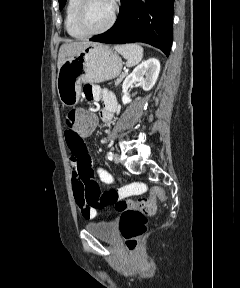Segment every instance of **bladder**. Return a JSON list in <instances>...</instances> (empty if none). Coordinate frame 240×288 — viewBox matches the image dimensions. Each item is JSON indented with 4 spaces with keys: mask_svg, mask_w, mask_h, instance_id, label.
Returning <instances> with one entry per match:
<instances>
[{
    "mask_svg": "<svg viewBox=\"0 0 240 288\" xmlns=\"http://www.w3.org/2000/svg\"><path fill=\"white\" fill-rule=\"evenodd\" d=\"M85 229L95 237L107 242H114L117 238V229L113 222H90L86 224Z\"/></svg>",
    "mask_w": 240,
    "mask_h": 288,
    "instance_id": "31cf9c89",
    "label": "bladder"
}]
</instances>
